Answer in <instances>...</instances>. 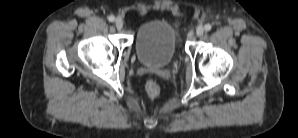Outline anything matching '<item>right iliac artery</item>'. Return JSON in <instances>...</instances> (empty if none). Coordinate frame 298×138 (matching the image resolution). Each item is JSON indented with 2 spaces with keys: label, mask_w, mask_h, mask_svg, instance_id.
<instances>
[{
  "label": "right iliac artery",
  "mask_w": 298,
  "mask_h": 138,
  "mask_svg": "<svg viewBox=\"0 0 298 138\" xmlns=\"http://www.w3.org/2000/svg\"><path fill=\"white\" fill-rule=\"evenodd\" d=\"M108 20H109L110 22H113V21L115 20V17H114L113 15H110V16L108 17Z\"/></svg>",
  "instance_id": "right-iliac-artery-1"
}]
</instances>
